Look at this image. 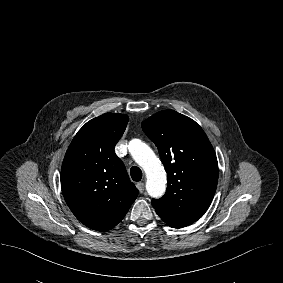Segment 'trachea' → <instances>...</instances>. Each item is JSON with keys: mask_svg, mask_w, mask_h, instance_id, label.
<instances>
[{"mask_svg": "<svg viewBox=\"0 0 283 283\" xmlns=\"http://www.w3.org/2000/svg\"><path fill=\"white\" fill-rule=\"evenodd\" d=\"M130 175H131V178L138 182L142 179V171L139 167L137 166H133L131 169H130Z\"/></svg>", "mask_w": 283, "mask_h": 283, "instance_id": "trachea-1", "label": "trachea"}]
</instances>
